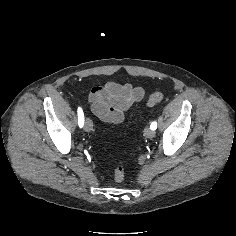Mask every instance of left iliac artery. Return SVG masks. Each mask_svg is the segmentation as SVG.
Segmentation results:
<instances>
[{
	"label": "left iliac artery",
	"instance_id": "left-iliac-artery-1",
	"mask_svg": "<svg viewBox=\"0 0 236 236\" xmlns=\"http://www.w3.org/2000/svg\"><path fill=\"white\" fill-rule=\"evenodd\" d=\"M150 128L152 130H155L157 128V122L156 121L152 122L151 125H150Z\"/></svg>",
	"mask_w": 236,
	"mask_h": 236
}]
</instances>
